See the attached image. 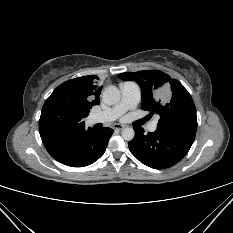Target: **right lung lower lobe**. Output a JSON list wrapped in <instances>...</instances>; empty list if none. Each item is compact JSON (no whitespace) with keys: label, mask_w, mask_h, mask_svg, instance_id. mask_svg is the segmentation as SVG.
I'll return each mask as SVG.
<instances>
[{"label":"right lung lower lobe","mask_w":233,"mask_h":233,"mask_svg":"<svg viewBox=\"0 0 233 233\" xmlns=\"http://www.w3.org/2000/svg\"><path fill=\"white\" fill-rule=\"evenodd\" d=\"M112 134L110 128L86 131L84 126L66 133L50 132L40 136L49 154L58 162L71 167H84L104 154Z\"/></svg>","instance_id":"obj_1"}]
</instances>
